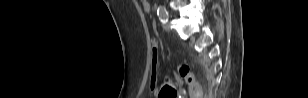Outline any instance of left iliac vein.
I'll return each instance as SVG.
<instances>
[{
    "instance_id": "1",
    "label": "left iliac vein",
    "mask_w": 308,
    "mask_h": 98,
    "mask_svg": "<svg viewBox=\"0 0 308 98\" xmlns=\"http://www.w3.org/2000/svg\"><path fill=\"white\" fill-rule=\"evenodd\" d=\"M163 28L165 31H169L170 30V25L168 22L164 23Z\"/></svg>"
}]
</instances>
